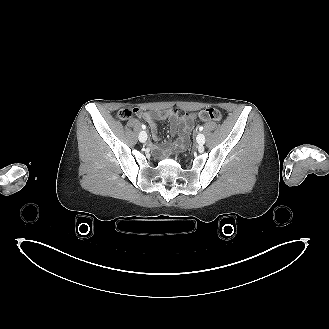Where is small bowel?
Here are the masks:
<instances>
[{"instance_id":"1","label":"small bowel","mask_w":329,"mask_h":329,"mask_svg":"<svg viewBox=\"0 0 329 329\" xmlns=\"http://www.w3.org/2000/svg\"><path fill=\"white\" fill-rule=\"evenodd\" d=\"M137 116L148 122L151 126L152 136L155 141L160 138L156 120L167 119L170 122V133L174 137L178 135L175 142L163 143L158 147V151L164 155H169L172 151L183 150L188 141L189 133L193 130L195 119L188 115L186 111L173 107L162 111H138Z\"/></svg>"}]
</instances>
